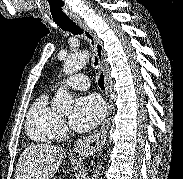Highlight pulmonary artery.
Segmentation results:
<instances>
[{
    "instance_id": "obj_1",
    "label": "pulmonary artery",
    "mask_w": 183,
    "mask_h": 179,
    "mask_svg": "<svg viewBox=\"0 0 183 179\" xmlns=\"http://www.w3.org/2000/svg\"><path fill=\"white\" fill-rule=\"evenodd\" d=\"M63 83L65 86L77 90H86L90 85L89 78L84 74H75L66 79Z\"/></svg>"
}]
</instances>
